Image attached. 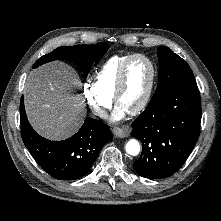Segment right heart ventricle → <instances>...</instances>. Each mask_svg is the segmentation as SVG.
<instances>
[{"label":"right heart ventricle","mask_w":221,"mask_h":221,"mask_svg":"<svg viewBox=\"0 0 221 221\" xmlns=\"http://www.w3.org/2000/svg\"><path fill=\"white\" fill-rule=\"evenodd\" d=\"M131 55H114L108 58L96 71L94 84L105 96L113 98L120 70Z\"/></svg>","instance_id":"obj_1"}]
</instances>
